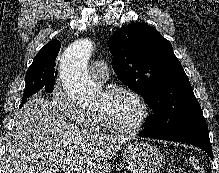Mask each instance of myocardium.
Masks as SVG:
<instances>
[{
    "mask_svg": "<svg viewBox=\"0 0 219 173\" xmlns=\"http://www.w3.org/2000/svg\"><path fill=\"white\" fill-rule=\"evenodd\" d=\"M105 93L108 96H114L120 93H125L132 96L140 107V115L134 126L127 129H123L112 125L101 112L96 111V116L103 129L107 132L119 136H132L140 132L146 124L149 117V106L145 98L137 90L124 85L109 87L105 90Z\"/></svg>",
    "mask_w": 219,
    "mask_h": 173,
    "instance_id": "1",
    "label": "myocardium"
}]
</instances>
